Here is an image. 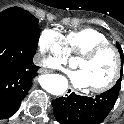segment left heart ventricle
I'll return each instance as SVG.
<instances>
[{
    "label": "left heart ventricle",
    "mask_w": 124,
    "mask_h": 124,
    "mask_svg": "<svg viewBox=\"0 0 124 124\" xmlns=\"http://www.w3.org/2000/svg\"><path fill=\"white\" fill-rule=\"evenodd\" d=\"M77 67L85 73L88 87H98L112 77L115 70V55L112 50H105L91 60L78 61Z\"/></svg>",
    "instance_id": "obj_1"
}]
</instances>
